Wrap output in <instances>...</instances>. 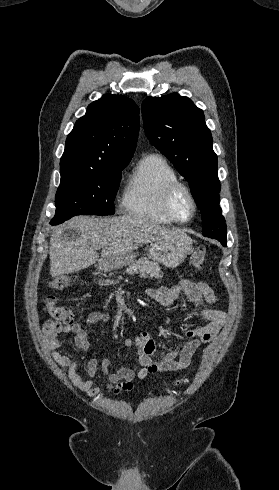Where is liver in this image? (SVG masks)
I'll list each match as a JSON object with an SVG mask.
<instances>
[{
    "label": "liver",
    "instance_id": "obj_1",
    "mask_svg": "<svg viewBox=\"0 0 279 490\" xmlns=\"http://www.w3.org/2000/svg\"><path fill=\"white\" fill-rule=\"evenodd\" d=\"M71 226L81 230V238L76 242H64L61 238L62 230ZM166 240H186L188 244H193L183 230L163 228L148 222L146 218L76 216L66 224L54 228L49 246L50 274L52 278L72 274L85 270L96 262L100 268L102 260L130 254L146 242H166ZM96 250H101V254Z\"/></svg>",
    "mask_w": 279,
    "mask_h": 490
}]
</instances>
